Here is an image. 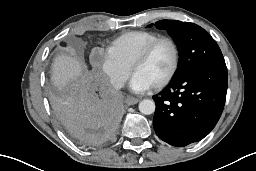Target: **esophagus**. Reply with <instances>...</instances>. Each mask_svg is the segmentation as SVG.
Masks as SVG:
<instances>
[{
	"label": "esophagus",
	"mask_w": 256,
	"mask_h": 171,
	"mask_svg": "<svg viewBox=\"0 0 256 171\" xmlns=\"http://www.w3.org/2000/svg\"><path fill=\"white\" fill-rule=\"evenodd\" d=\"M139 102V99L137 98H134V97H127L125 99V103L128 105V106H131V105H135Z\"/></svg>",
	"instance_id": "obj_1"
}]
</instances>
